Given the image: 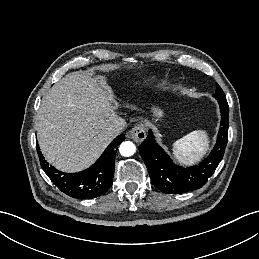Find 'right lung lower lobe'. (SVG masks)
I'll return each instance as SVG.
<instances>
[{
	"label": "right lung lower lobe",
	"instance_id": "obj_1",
	"mask_svg": "<svg viewBox=\"0 0 259 259\" xmlns=\"http://www.w3.org/2000/svg\"><path fill=\"white\" fill-rule=\"evenodd\" d=\"M124 139L119 135L95 164L79 173H62L49 165L37 145L38 156L42 169L62 192L73 198H95L105 194L113 183L116 149Z\"/></svg>",
	"mask_w": 259,
	"mask_h": 259
}]
</instances>
